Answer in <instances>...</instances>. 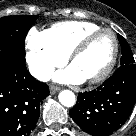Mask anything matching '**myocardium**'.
I'll return each mask as SVG.
<instances>
[{
    "mask_svg": "<svg viewBox=\"0 0 136 136\" xmlns=\"http://www.w3.org/2000/svg\"><path fill=\"white\" fill-rule=\"evenodd\" d=\"M104 33L110 34L113 38L114 42L113 54L107 66L100 73L93 77L85 79V81L90 84L99 83L105 80L111 74L117 63L119 55V41L115 32L108 28H100L98 30H95L85 35L68 54V61L70 64H72L74 60L87 49V47L96 37Z\"/></svg>",
    "mask_w": 136,
    "mask_h": 136,
    "instance_id": "1",
    "label": "myocardium"
}]
</instances>
